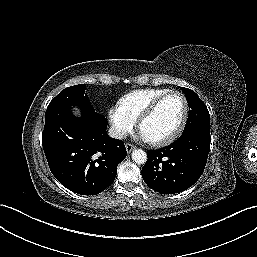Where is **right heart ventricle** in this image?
<instances>
[{"label":"right heart ventricle","mask_w":257,"mask_h":257,"mask_svg":"<svg viewBox=\"0 0 257 257\" xmlns=\"http://www.w3.org/2000/svg\"><path fill=\"white\" fill-rule=\"evenodd\" d=\"M170 91L167 88H145L131 91L120 100V105L135 121L144 110L158 97Z\"/></svg>","instance_id":"1"}]
</instances>
